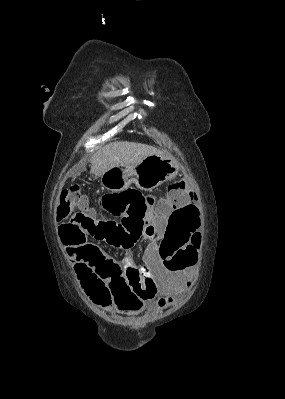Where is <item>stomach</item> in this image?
<instances>
[{"label":"stomach","instance_id":"0dacf381","mask_svg":"<svg viewBox=\"0 0 285 399\" xmlns=\"http://www.w3.org/2000/svg\"><path fill=\"white\" fill-rule=\"evenodd\" d=\"M178 167L168 157L149 155L134 166H117L101 176V185L111 192L127 189L132 183L144 191H151L174 178Z\"/></svg>","mask_w":285,"mask_h":399}]
</instances>
